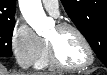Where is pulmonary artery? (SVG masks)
I'll use <instances>...</instances> for the list:
<instances>
[{"mask_svg": "<svg viewBox=\"0 0 107 75\" xmlns=\"http://www.w3.org/2000/svg\"><path fill=\"white\" fill-rule=\"evenodd\" d=\"M44 8L53 16H58L59 14V4L57 0H43Z\"/></svg>", "mask_w": 107, "mask_h": 75, "instance_id": "e3ab8cb5", "label": "pulmonary artery"}]
</instances>
